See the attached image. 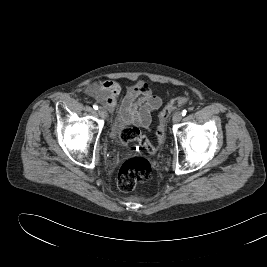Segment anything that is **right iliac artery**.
Listing matches in <instances>:
<instances>
[{
  "instance_id": "obj_1",
  "label": "right iliac artery",
  "mask_w": 267,
  "mask_h": 267,
  "mask_svg": "<svg viewBox=\"0 0 267 267\" xmlns=\"http://www.w3.org/2000/svg\"><path fill=\"white\" fill-rule=\"evenodd\" d=\"M93 108H94L95 110H97V109H98V105H97V104H94V105H93Z\"/></svg>"
}]
</instances>
